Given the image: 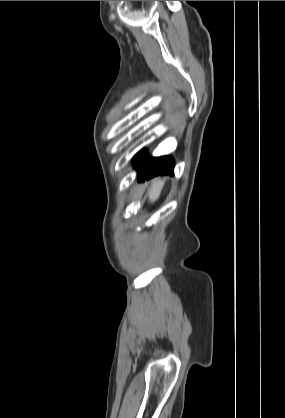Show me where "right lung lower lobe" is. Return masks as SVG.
<instances>
[{"instance_id":"obj_1","label":"right lung lower lobe","mask_w":285,"mask_h":418,"mask_svg":"<svg viewBox=\"0 0 285 418\" xmlns=\"http://www.w3.org/2000/svg\"><path fill=\"white\" fill-rule=\"evenodd\" d=\"M134 164L138 172V180L144 181L157 175L173 174L174 159L169 156L150 157L140 152L134 157Z\"/></svg>"}]
</instances>
